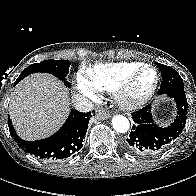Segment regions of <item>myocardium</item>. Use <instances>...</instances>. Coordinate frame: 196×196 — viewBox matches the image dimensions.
Here are the masks:
<instances>
[{
    "instance_id": "f54148a6",
    "label": "myocardium",
    "mask_w": 196,
    "mask_h": 196,
    "mask_svg": "<svg viewBox=\"0 0 196 196\" xmlns=\"http://www.w3.org/2000/svg\"><path fill=\"white\" fill-rule=\"evenodd\" d=\"M146 70H152L155 72L156 78L151 86V88L142 96L133 97L130 94V90L141 76V74ZM160 72L158 69L152 65L144 64L135 71H133L130 75H128L122 83L116 88L114 91V96L117 103L124 109H138L145 105L155 94L159 84H160Z\"/></svg>"
}]
</instances>
